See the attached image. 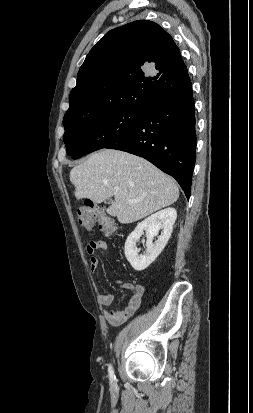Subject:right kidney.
Segmentation results:
<instances>
[{
    "instance_id": "right-kidney-1",
    "label": "right kidney",
    "mask_w": 253,
    "mask_h": 413,
    "mask_svg": "<svg viewBox=\"0 0 253 413\" xmlns=\"http://www.w3.org/2000/svg\"><path fill=\"white\" fill-rule=\"evenodd\" d=\"M176 218L177 212L174 208L163 209L139 223L128 236L125 242V256L136 271L146 269L159 256L171 236ZM144 230L147 237L146 252L143 255H139L136 243ZM159 230H162L161 235L153 243V239L158 235Z\"/></svg>"
}]
</instances>
